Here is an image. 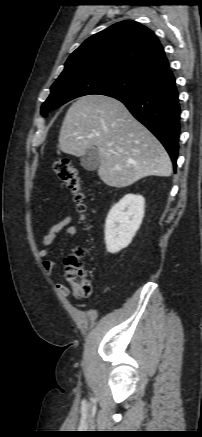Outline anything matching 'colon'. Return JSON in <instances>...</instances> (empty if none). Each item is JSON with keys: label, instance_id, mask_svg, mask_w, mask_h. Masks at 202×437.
Instances as JSON below:
<instances>
[{"label": "colon", "instance_id": "colon-1", "mask_svg": "<svg viewBox=\"0 0 202 437\" xmlns=\"http://www.w3.org/2000/svg\"><path fill=\"white\" fill-rule=\"evenodd\" d=\"M52 167L64 186L72 193L77 210L84 217L88 211V203L77 168L68 158L55 160ZM83 257V249L78 248L65 261V280L78 298L89 297L92 293L91 283L83 267Z\"/></svg>", "mask_w": 202, "mask_h": 437}]
</instances>
